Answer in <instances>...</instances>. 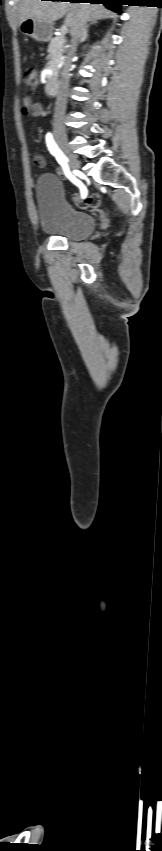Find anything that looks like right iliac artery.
<instances>
[{
	"label": "right iliac artery",
	"mask_w": 162,
	"mask_h": 851,
	"mask_svg": "<svg viewBox=\"0 0 162 851\" xmlns=\"http://www.w3.org/2000/svg\"><path fill=\"white\" fill-rule=\"evenodd\" d=\"M46 143H47V146H48L50 153L53 156L56 157L58 163L62 166L65 175L67 176V178L70 179V184H73V186H76V188H80L81 189V195L85 196L86 195V188L83 185V181L76 179V177L73 176L70 173L69 167L67 165V158L65 157V155L62 153V151L59 149V147L55 143L51 133H47Z\"/></svg>",
	"instance_id": "82829eb1"
}]
</instances>
